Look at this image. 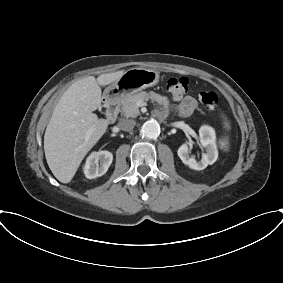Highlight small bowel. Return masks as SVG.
<instances>
[{
  "label": "small bowel",
  "mask_w": 283,
  "mask_h": 283,
  "mask_svg": "<svg viewBox=\"0 0 283 283\" xmlns=\"http://www.w3.org/2000/svg\"><path fill=\"white\" fill-rule=\"evenodd\" d=\"M174 100L178 102L179 113L183 116L191 115L197 107L196 99L190 95L175 97Z\"/></svg>",
  "instance_id": "obj_1"
}]
</instances>
